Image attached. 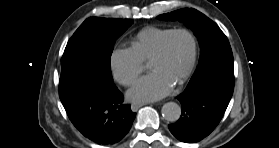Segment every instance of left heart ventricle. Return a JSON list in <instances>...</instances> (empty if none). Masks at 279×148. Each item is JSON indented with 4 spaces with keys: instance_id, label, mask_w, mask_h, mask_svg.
I'll return each instance as SVG.
<instances>
[{
    "instance_id": "1",
    "label": "left heart ventricle",
    "mask_w": 279,
    "mask_h": 148,
    "mask_svg": "<svg viewBox=\"0 0 279 148\" xmlns=\"http://www.w3.org/2000/svg\"><path fill=\"white\" fill-rule=\"evenodd\" d=\"M193 55V42L184 33L169 39L163 58L149 65L152 73L175 83L187 71Z\"/></svg>"
}]
</instances>
